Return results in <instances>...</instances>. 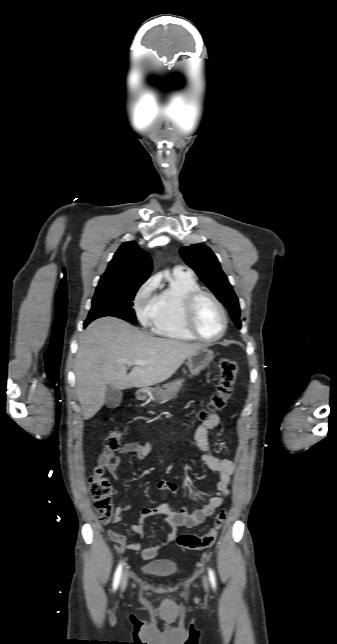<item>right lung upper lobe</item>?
<instances>
[{
  "label": "right lung upper lobe",
  "mask_w": 337,
  "mask_h": 644,
  "mask_svg": "<svg viewBox=\"0 0 337 644\" xmlns=\"http://www.w3.org/2000/svg\"><path fill=\"white\" fill-rule=\"evenodd\" d=\"M151 271L149 255L135 241L124 242L109 262L98 286L144 283Z\"/></svg>",
  "instance_id": "1"
}]
</instances>
